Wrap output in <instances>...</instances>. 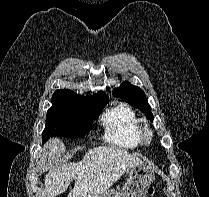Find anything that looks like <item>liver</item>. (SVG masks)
Segmentation results:
<instances>
[{
    "mask_svg": "<svg viewBox=\"0 0 209 197\" xmlns=\"http://www.w3.org/2000/svg\"><path fill=\"white\" fill-rule=\"evenodd\" d=\"M63 147L59 139H50L44 145L46 161H55ZM142 163L139 158L115 146L95 147L77 163L49 168L42 197H56L65 192L72 180H75V185L68 197H100L126 171Z\"/></svg>",
    "mask_w": 209,
    "mask_h": 197,
    "instance_id": "obj_1",
    "label": "liver"
}]
</instances>
